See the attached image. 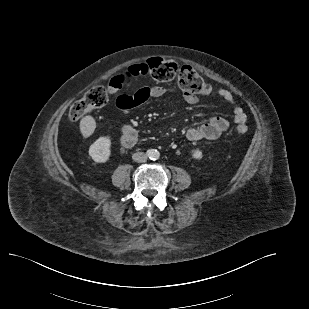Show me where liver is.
Returning a JSON list of instances; mask_svg holds the SVG:
<instances>
[{
	"mask_svg": "<svg viewBox=\"0 0 309 309\" xmlns=\"http://www.w3.org/2000/svg\"><path fill=\"white\" fill-rule=\"evenodd\" d=\"M96 128V122L93 117L85 116L80 121V132L84 138L89 137Z\"/></svg>",
	"mask_w": 309,
	"mask_h": 309,
	"instance_id": "6515ba94",
	"label": "liver"
}]
</instances>
